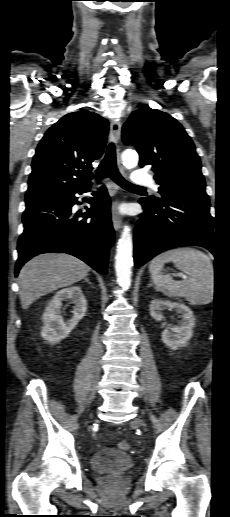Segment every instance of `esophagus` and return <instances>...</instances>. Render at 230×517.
<instances>
[{
  "label": "esophagus",
  "instance_id": "obj_1",
  "mask_svg": "<svg viewBox=\"0 0 230 517\" xmlns=\"http://www.w3.org/2000/svg\"><path fill=\"white\" fill-rule=\"evenodd\" d=\"M110 134H111L112 141L115 143V145H117L119 143L120 135H121V122L119 120L116 119L111 122ZM117 154L119 155L118 149H117ZM112 223H113L114 229L116 231H119L121 229L122 219L118 212L117 200H114L112 203Z\"/></svg>",
  "mask_w": 230,
  "mask_h": 517
}]
</instances>
